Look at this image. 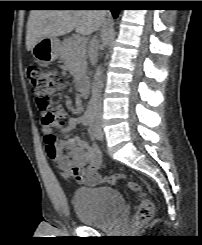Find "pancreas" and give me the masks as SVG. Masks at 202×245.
<instances>
[{"mask_svg":"<svg viewBox=\"0 0 202 245\" xmlns=\"http://www.w3.org/2000/svg\"><path fill=\"white\" fill-rule=\"evenodd\" d=\"M77 37L65 39L60 47V58L64 61L76 83L84 77L87 69L86 44Z\"/></svg>","mask_w":202,"mask_h":245,"instance_id":"obj_1","label":"pancreas"}]
</instances>
